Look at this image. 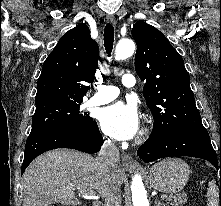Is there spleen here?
I'll return each mask as SVG.
<instances>
[{"label":"spleen","instance_id":"spleen-1","mask_svg":"<svg viewBox=\"0 0 221 206\" xmlns=\"http://www.w3.org/2000/svg\"><path fill=\"white\" fill-rule=\"evenodd\" d=\"M207 206H219V193L214 180L209 183Z\"/></svg>","mask_w":221,"mask_h":206}]
</instances>
